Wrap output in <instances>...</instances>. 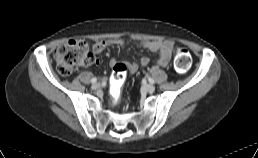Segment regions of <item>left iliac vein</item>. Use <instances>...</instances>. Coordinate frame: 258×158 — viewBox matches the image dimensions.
<instances>
[{
    "label": "left iliac vein",
    "instance_id": "1",
    "mask_svg": "<svg viewBox=\"0 0 258 158\" xmlns=\"http://www.w3.org/2000/svg\"><path fill=\"white\" fill-rule=\"evenodd\" d=\"M144 89L149 93H153L155 91V86L152 84H146L144 85Z\"/></svg>",
    "mask_w": 258,
    "mask_h": 158
}]
</instances>
